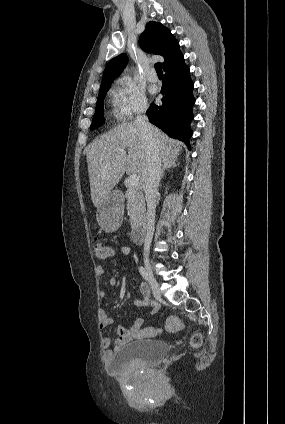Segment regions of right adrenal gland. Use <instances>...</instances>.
<instances>
[{
	"instance_id": "right-adrenal-gland-1",
	"label": "right adrenal gland",
	"mask_w": 285,
	"mask_h": 424,
	"mask_svg": "<svg viewBox=\"0 0 285 424\" xmlns=\"http://www.w3.org/2000/svg\"><path fill=\"white\" fill-rule=\"evenodd\" d=\"M176 158H169L163 161L162 170H161V177H163L164 172L166 169H169L170 167H176L179 166V163H176Z\"/></svg>"
}]
</instances>
